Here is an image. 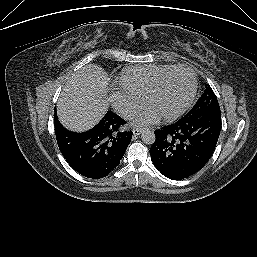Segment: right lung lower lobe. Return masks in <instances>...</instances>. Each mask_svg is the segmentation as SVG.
<instances>
[{
    "label": "right lung lower lobe",
    "mask_w": 257,
    "mask_h": 257,
    "mask_svg": "<svg viewBox=\"0 0 257 257\" xmlns=\"http://www.w3.org/2000/svg\"><path fill=\"white\" fill-rule=\"evenodd\" d=\"M126 123L112 111L92 129L76 133L65 129L55 115V134L59 149L69 165L87 178L107 176L120 163L132 132L122 131Z\"/></svg>",
    "instance_id": "obj_1"
}]
</instances>
